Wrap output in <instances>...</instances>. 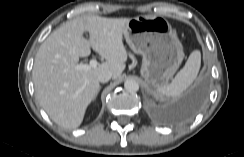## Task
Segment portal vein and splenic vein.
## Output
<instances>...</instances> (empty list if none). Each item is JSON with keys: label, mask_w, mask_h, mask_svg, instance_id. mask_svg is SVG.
Returning <instances> with one entry per match:
<instances>
[{"label": "portal vein and splenic vein", "mask_w": 244, "mask_h": 157, "mask_svg": "<svg viewBox=\"0 0 244 157\" xmlns=\"http://www.w3.org/2000/svg\"><path fill=\"white\" fill-rule=\"evenodd\" d=\"M97 60L96 59H92L90 60L89 64H78L75 66L76 70H81V71H88L91 68H95L97 67Z\"/></svg>", "instance_id": "portal-vein-and-splenic-vein-1"}]
</instances>
